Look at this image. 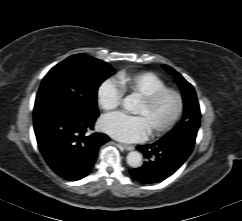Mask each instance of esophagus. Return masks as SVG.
I'll return each instance as SVG.
<instances>
[{
	"instance_id": "esophagus-1",
	"label": "esophagus",
	"mask_w": 242,
	"mask_h": 221,
	"mask_svg": "<svg viewBox=\"0 0 242 221\" xmlns=\"http://www.w3.org/2000/svg\"><path fill=\"white\" fill-rule=\"evenodd\" d=\"M119 146L122 148V149H125L127 151H132L134 150V147L132 145H127V144H122L120 143Z\"/></svg>"
}]
</instances>
